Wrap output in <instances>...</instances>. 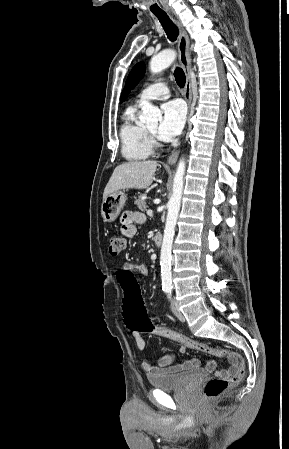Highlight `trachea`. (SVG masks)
I'll use <instances>...</instances> for the list:
<instances>
[{
	"mask_svg": "<svg viewBox=\"0 0 289 449\" xmlns=\"http://www.w3.org/2000/svg\"><path fill=\"white\" fill-rule=\"evenodd\" d=\"M154 15L159 19L163 29L166 32L168 39L171 42H174L178 35L179 30L178 27L172 22V20L168 17L166 13H154ZM174 77L177 85L182 88L186 82V76L182 68L176 67L174 71Z\"/></svg>",
	"mask_w": 289,
	"mask_h": 449,
	"instance_id": "3493384b",
	"label": "trachea"
}]
</instances>
